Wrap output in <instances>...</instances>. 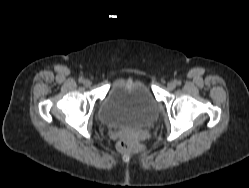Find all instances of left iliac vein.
<instances>
[{
	"instance_id": "1",
	"label": "left iliac vein",
	"mask_w": 249,
	"mask_h": 188,
	"mask_svg": "<svg viewBox=\"0 0 249 188\" xmlns=\"http://www.w3.org/2000/svg\"><path fill=\"white\" fill-rule=\"evenodd\" d=\"M167 87H168V89L173 90V89L175 88V83L169 82V83L167 84Z\"/></svg>"
}]
</instances>
